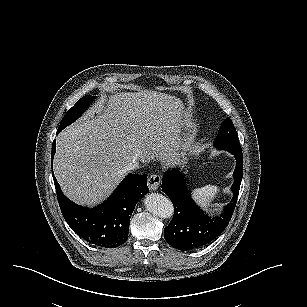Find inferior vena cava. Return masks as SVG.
<instances>
[{
	"label": "inferior vena cava",
	"instance_id": "obj_1",
	"mask_svg": "<svg viewBox=\"0 0 307 307\" xmlns=\"http://www.w3.org/2000/svg\"><path fill=\"white\" fill-rule=\"evenodd\" d=\"M139 167H140L139 163L134 161L126 167V171L128 172V171L136 170Z\"/></svg>",
	"mask_w": 307,
	"mask_h": 307
}]
</instances>
